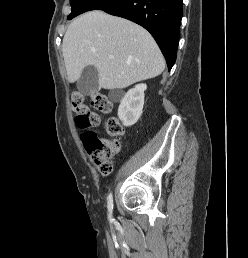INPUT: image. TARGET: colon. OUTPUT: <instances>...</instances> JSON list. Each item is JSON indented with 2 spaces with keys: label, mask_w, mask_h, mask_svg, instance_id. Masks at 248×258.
I'll list each match as a JSON object with an SVG mask.
<instances>
[{
  "label": "colon",
  "mask_w": 248,
  "mask_h": 258,
  "mask_svg": "<svg viewBox=\"0 0 248 258\" xmlns=\"http://www.w3.org/2000/svg\"><path fill=\"white\" fill-rule=\"evenodd\" d=\"M92 106L99 112L111 113L113 109L112 102L99 92H93L90 96ZM72 110L76 114V123L84 129L96 127L99 122V116L91 111L85 103L83 95L74 92L71 96ZM106 132L112 138L99 137L93 131H85L81 135L83 144L97 165L102 175H109L112 171L111 159L118 155L121 148L120 139L124 134V129L120 121L110 117L105 124Z\"/></svg>",
  "instance_id": "1"
}]
</instances>
